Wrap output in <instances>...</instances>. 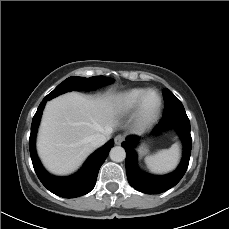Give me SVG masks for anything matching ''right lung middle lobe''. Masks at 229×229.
Masks as SVG:
<instances>
[{
    "mask_svg": "<svg viewBox=\"0 0 229 229\" xmlns=\"http://www.w3.org/2000/svg\"><path fill=\"white\" fill-rule=\"evenodd\" d=\"M114 80L104 76H94L90 78L72 76L59 84L51 93L44 99L47 101L68 91L72 90H90L100 86L110 84Z\"/></svg>",
    "mask_w": 229,
    "mask_h": 229,
    "instance_id": "right-lung-middle-lobe-1",
    "label": "right lung middle lobe"
}]
</instances>
